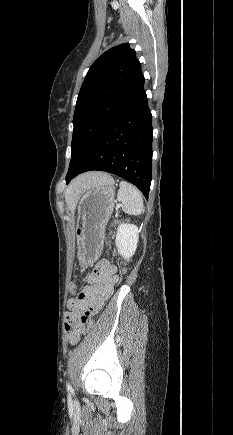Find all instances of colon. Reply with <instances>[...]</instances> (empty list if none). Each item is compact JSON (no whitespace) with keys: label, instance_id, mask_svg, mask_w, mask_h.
<instances>
[{"label":"colon","instance_id":"obj_1","mask_svg":"<svg viewBox=\"0 0 233 435\" xmlns=\"http://www.w3.org/2000/svg\"><path fill=\"white\" fill-rule=\"evenodd\" d=\"M124 272H125V269H122V270H121V273L123 274ZM71 292L73 293V292H75V290H72ZM66 330H67V332L69 333V335L71 336V334H72V329H71L70 327L66 326Z\"/></svg>","mask_w":233,"mask_h":435}]
</instances>
